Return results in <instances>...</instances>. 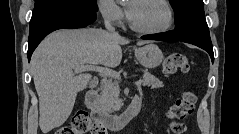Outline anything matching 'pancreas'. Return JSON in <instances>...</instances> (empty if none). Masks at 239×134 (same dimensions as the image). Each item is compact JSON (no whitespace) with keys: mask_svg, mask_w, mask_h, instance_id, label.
<instances>
[{"mask_svg":"<svg viewBox=\"0 0 239 134\" xmlns=\"http://www.w3.org/2000/svg\"><path fill=\"white\" fill-rule=\"evenodd\" d=\"M143 85L151 87L152 89H160L163 83L155 78L149 72L143 74ZM120 96V86L118 81H106L101 87V105L105 110L112 113L118 111L122 107V100Z\"/></svg>","mask_w":239,"mask_h":134,"instance_id":"cf45deb5","label":"pancreas"}]
</instances>
